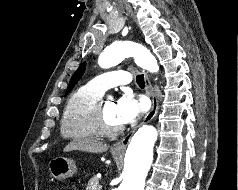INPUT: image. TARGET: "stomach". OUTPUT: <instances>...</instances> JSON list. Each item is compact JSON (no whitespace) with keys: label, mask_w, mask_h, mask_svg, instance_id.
I'll return each instance as SVG.
<instances>
[{"label":"stomach","mask_w":238,"mask_h":190,"mask_svg":"<svg viewBox=\"0 0 238 190\" xmlns=\"http://www.w3.org/2000/svg\"><path fill=\"white\" fill-rule=\"evenodd\" d=\"M114 157H118L120 153L112 151ZM49 172L52 177L57 180L67 179L72 177L77 171L73 160L65 157H56L48 164Z\"/></svg>","instance_id":"obj_1"}]
</instances>
